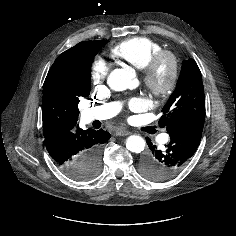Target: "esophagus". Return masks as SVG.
Returning a JSON list of instances; mask_svg holds the SVG:
<instances>
[{
	"label": "esophagus",
	"mask_w": 236,
	"mask_h": 236,
	"mask_svg": "<svg viewBox=\"0 0 236 236\" xmlns=\"http://www.w3.org/2000/svg\"><path fill=\"white\" fill-rule=\"evenodd\" d=\"M131 132L128 131V130H125V129H118L116 132H115V135L116 136H127L129 135Z\"/></svg>",
	"instance_id": "obj_1"
}]
</instances>
